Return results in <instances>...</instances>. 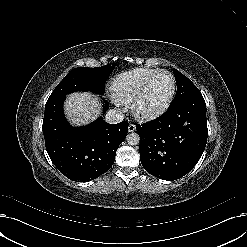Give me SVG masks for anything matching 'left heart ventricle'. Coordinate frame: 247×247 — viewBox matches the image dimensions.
<instances>
[{
    "label": "left heart ventricle",
    "instance_id": "left-heart-ventricle-1",
    "mask_svg": "<svg viewBox=\"0 0 247 247\" xmlns=\"http://www.w3.org/2000/svg\"><path fill=\"white\" fill-rule=\"evenodd\" d=\"M172 82L168 75L159 74L149 84L144 96L140 101V108L151 109L161 105L169 96Z\"/></svg>",
    "mask_w": 247,
    "mask_h": 247
}]
</instances>
